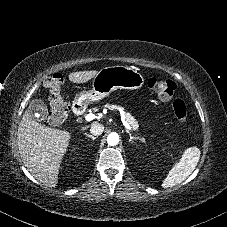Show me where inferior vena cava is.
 I'll return each mask as SVG.
<instances>
[{
	"label": "inferior vena cava",
	"instance_id": "obj_1",
	"mask_svg": "<svg viewBox=\"0 0 227 227\" xmlns=\"http://www.w3.org/2000/svg\"><path fill=\"white\" fill-rule=\"evenodd\" d=\"M104 131V126L100 123H95L91 126L90 128V132L93 134V135H100L102 134Z\"/></svg>",
	"mask_w": 227,
	"mask_h": 227
}]
</instances>
